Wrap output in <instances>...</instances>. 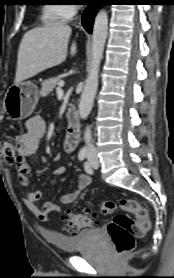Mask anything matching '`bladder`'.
I'll use <instances>...</instances> for the list:
<instances>
[{
    "instance_id": "obj_1",
    "label": "bladder",
    "mask_w": 174,
    "mask_h": 278,
    "mask_svg": "<svg viewBox=\"0 0 174 278\" xmlns=\"http://www.w3.org/2000/svg\"><path fill=\"white\" fill-rule=\"evenodd\" d=\"M101 231L99 228H88L73 235L48 233L47 240L63 252H74L83 249L97 241Z\"/></svg>"
}]
</instances>
